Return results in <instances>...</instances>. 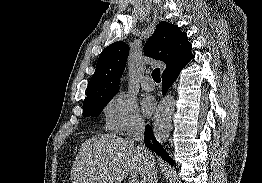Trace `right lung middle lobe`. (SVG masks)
Returning a JSON list of instances; mask_svg holds the SVG:
<instances>
[{"label": "right lung middle lobe", "mask_w": 262, "mask_h": 183, "mask_svg": "<svg viewBox=\"0 0 262 183\" xmlns=\"http://www.w3.org/2000/svg\"><path fill=\"white\" fill-rule=\"evenodd\" d=\"M113 96L93 100L89 102H83V116H99L103 107L112 99Z\"/></svg>", "instance_id": "1"}]
</instances>
